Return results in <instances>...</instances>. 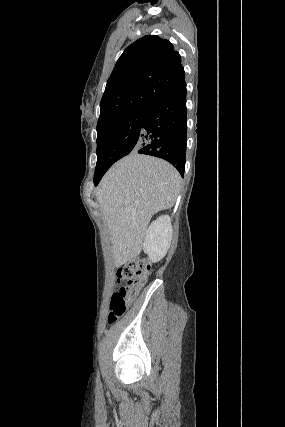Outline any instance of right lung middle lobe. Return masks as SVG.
Instances as JSON below:
<instances>
[{"label":"right lung middle lobe","instance_id":"dd1d6c3e","mask_svg":"<svg viewBox=\"0 0 285 427\" xmlns=\"http://www.w3.org/2000/svg\"><path fill=\"white\" fill-rule=\"evenodd\" d=\"M146 108L134 110L97 126L95 175L106 172L120 158L135 150L139 142Z\"/></svg>","mask_w":285,"mask_h":427}]
</instances>
